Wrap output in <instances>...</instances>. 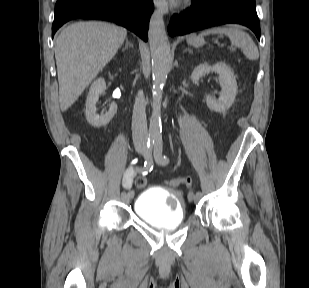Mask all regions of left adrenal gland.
<instances>
[{
    "mask_svg": "<svg viewBox=\"0 0 309 288\" xmlns=\"http://www.w3.org/2000/svg\"><path fill=\"white\" fill-rule=\"evenodd\" d=\"M189 52V53H193L190 49H188V48H186L185 50H184V52Z\"/></svg>",
    "mask_w": 309,
    "mask_h": 288,
    "instance_id": "obj_1",
    "label": "left adrenal gland"
}]
</instances>
